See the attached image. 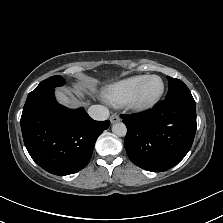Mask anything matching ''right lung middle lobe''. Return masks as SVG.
Instances as JSON below:
<instances>
[{"mask_svg": "<svg viewBox=\"0 0 223 223\" xmlns=\"http://www.w3.org/2000/svg\"><path fill=\"white\" fill-rule=\"evenodd\" d=\"M64 83L65 81L61 76H51L40 82V84L32 92L29 93L28 97L41 94L49 89H54L55 87L61 86Z\"/></svg>", "mask_w": 223, "mask_h": 223, "instance_id": "1", "label": "right lung middle lobe"}]
</instances>
